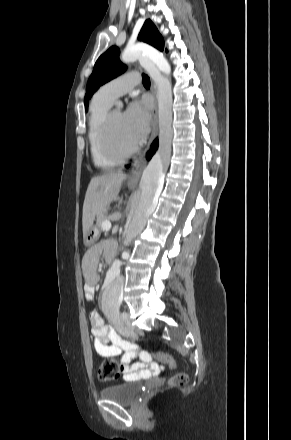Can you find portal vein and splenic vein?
<instances>
[{
  "label": "portal vein and splenic vein",
  "mask_w": 291,
  "mask_h": 440,
  "mask_svg": "<svg viewBox=\"0 0 291 440\" xmlns=\"http://www.w3.org/2000/svg\"><path fill=\"white\" fill-rule=\"evenodd\" d=\"M102 229H103L104 231H109V230L111 229V222H110L108 219H106V220L103 221V223H102Z\"/></svg>",
  "instance_id": "portal-vein-and-splenic-vein-1"
}]
</instances>
